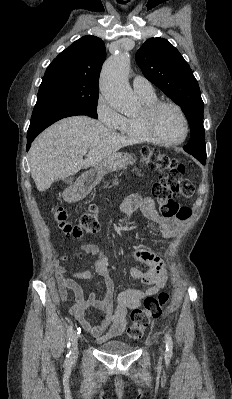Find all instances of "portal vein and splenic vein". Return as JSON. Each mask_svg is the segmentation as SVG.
Returning a JSON list of instances; mask_svg holds the SVG:
<instances>
[{
    "label": "portal vein and splenic vein",
    "mask_w": 232,
    "mask_h": 399,
    "mask_svg": "<svg viewBox=\"0 0 232 399\" xmlns=\"http://www.w3.org/2000/svg\"><path fill=\"white\" fill-rule=\"evenodd\" d=\"M88 150H83V152H81V156H86Z\"/></svg>",
    "instance_id": "obj_1"
}]
</instances>
